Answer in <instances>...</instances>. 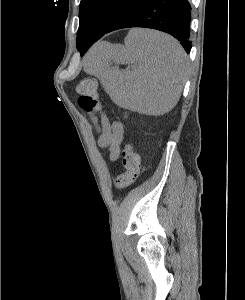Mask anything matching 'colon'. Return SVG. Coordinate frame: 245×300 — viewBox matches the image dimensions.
<instances>
[{
  "label": "colon",
  "instance_id": "colon-1",
  "mask_svg": "<svg viewBox=\"0 0 245 300\" xmlns=\"http://www.w3.org/2000/svg\"><path fill=\"white\" fill-rule=\"evenodd\" d=\"M78 105L89 113L98 112L101 109L99 101L97 81L93 78H84L77 84ZM123 172L115 177L116 188H125L131 185L140 172V156L132 144H127L122 152Z\"/></svg>",
  "mask_w": 245,
  "mask_h": 300
}]
</instances>
